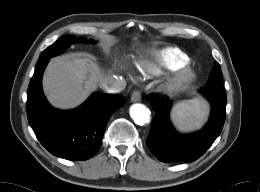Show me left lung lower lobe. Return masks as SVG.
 Here are the masks:
<instances>
[{"label": "left lung lower lobe", "instance_id": "1", "mask_svg": "<svg viewBox=\"0 0 260 192\" xmlns=\"http://www.w3.org/2000/svg\"><path fill=\"white\" fill-rule=\"evenodd\" d=\"M211 104V116L199 132L181 135L174 131L169 120L171 103L168 98L153 94L150 103L155 112L146 140L148 148L162 162H193L202 156L219 136L226 115V93L223 86H204L200 89Z\"/></svg>", "mask_w": 260, "mask_h": 192}]
</instances>
